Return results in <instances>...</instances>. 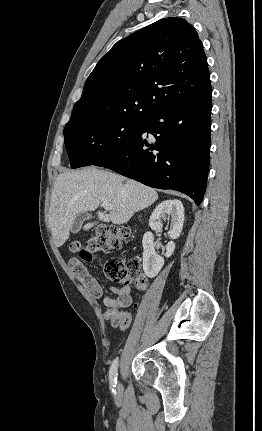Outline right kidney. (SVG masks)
Segmentation results:
<instances>
[{
  "label": "right kidney",
  "instance_id": "1",
  "mask_svg": "<svg viewBox=\"0 0 262 431\" xmlns=\"http://www.w3.org/2000/svg\"><path fill=\"white\" fill-rule=\"evenodd\" d=\"M171 219L170 230L168 232L172 240L177 239L182 231L184 222V207L180 200H165L160 203L152 212L149 219V226L154 231L162 229V220ZM154 236L151 232H146L143 236V270L150 277H155L164 265V258L157 255L154 248ZM175 250V243L170 241L166 245L165 256L170 257Z\"/></svg>",
  "mask_w": 262,
  "mask_h": 431
}]
</instances>
